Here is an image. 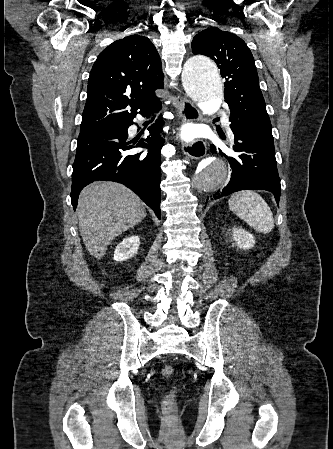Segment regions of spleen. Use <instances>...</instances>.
Listing matches in <instances>:
<instances>
[{
  "mask_svg": "<svg viewBox=\"0 0 333 449\" xmlns=\"http://www.w3.org/2000/svg\"><path fill=\"white\" fill-rule=\"evenodd\" d=\"M230 209L255 230L269 233L274 227L273 213L266 201L255 191L242 190L229 199Z\"/></svg>",
  "mask_w": 333,
  "mask_h": 449,
  "instance_id": "1",
  "label": "spleen"
}]
</instances>
